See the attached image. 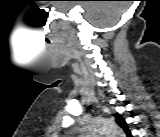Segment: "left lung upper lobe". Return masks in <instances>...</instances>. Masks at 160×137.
<instances>
[{
    "instance_id": "obj_1",
    "label": "left lung upper lobe",
    "mask_w": 160,
    "mask_h": 137,
    "mask_svg": "<svg viewBox=\"0 0 160 137\" xmlns=\"http://www.w3.org/2000/svg\"><path fill=\"white\" fill-rule=\"evenodd\" d=\"M115 118H116V122L117 124L123 128L126 132H129L128 128H127V124L126 122L124 121V119L119 115V114H115L114 115Z\"/></svg>"
}]
</instances>
